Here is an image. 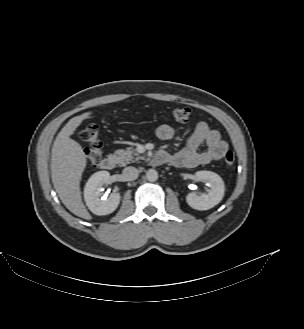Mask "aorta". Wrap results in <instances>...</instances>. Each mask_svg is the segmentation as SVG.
<instances>
[{"label": "aorta", "instance_id": "1", "mask_svg": "<svg viewBox=\"0 0 304 329\" xmlns=\"http://www.w3.org/2000/svg\"><path fill=\"white\" fill-rule=\"evenodd\" d=\"M146 178L148 179V181L154 182L158 179V172L155 169H149L146 172Z\"/></svg>", "mask_w": 304, "mask_h": 329}]
</instances>
